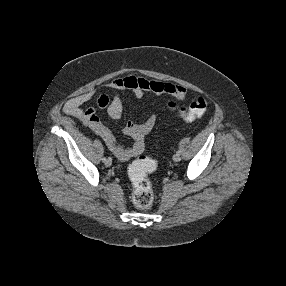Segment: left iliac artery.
<instances>
[{"mask_svg": "<svg viewBox=\"0 0 286 286\" xmlns=\"http://www.w3.org/2000/svg\"><path fill=\"white\" fill-rule=\"evenodd\" d=\"M176 153L180 154V151L178 150Z\"/></svg>", "mask_w": 286, "mask_h": 286, "instance_id": "obj_1", "label": "left iliac artery"}]
</instances>
